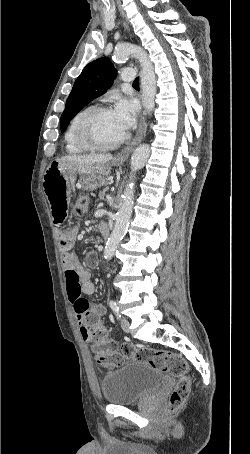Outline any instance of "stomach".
<instances>
[{"label":"stomach","mask_w":250,"mask_h":454,"mask_svg":"<svg viewBox=\"0 0 250 454\" xmlns=\"http://www.w3.org/2000/svg\"><path fill=\"white\" fill-rule=\"evenodd\" d=\"M123 162V159H113L112 165L119 166L122 165ZM109 172V167L102 164L75 166L60 161H54L48 166L44 176H76V174H79L86 189H96L103 185L105 176H107Z\"/></svg>","instance_id":"obj_1"}]
</instances>
